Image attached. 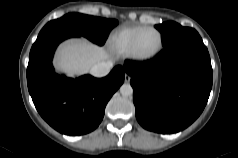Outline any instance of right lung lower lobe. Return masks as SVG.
I'll use <instances>...</instances> for the list:
<instances>
[{"instance_id":"obj_1","label":"right lung lower lobe","mask_w":238,"mask_h":158,"mask_svg":"<svg viewBox=\"0 0 238 158\" xmlns=\"http://www.w3.org/2000/svg\"><path fill=\"white\" fill-rule=\"evenodd\" d=\"M79 36L58 29L39 34L27 67L28 90L37 111L50 126L67 135L96 129L107 102L124 82L122 66L100 79L90 75L73 79L55 73L52 58L56 47L67 38Z\"/></svg>"}]
</instances>
